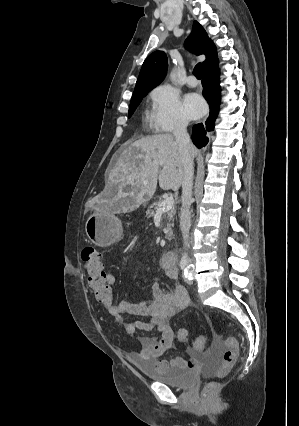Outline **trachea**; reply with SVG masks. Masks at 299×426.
I'll return each mask as SVG.
<instances>
[{
    "instance_id": "1",
    "label": "trachea",
    "mask_w": 299,
    "mask_h": 426,
    "mask_svg": "<svg viewBox=\"0 0 299 426\" xmlns=\"http://www.w3.org/2000/svg\"><path fill=\"white\" fill-rule=\"evenodd\" d=\"M193 73H194V75H195L198 79H201V78H202L203 70H202V65H201V63H198V64L194 67Z\"/></svg>"
}]
</instances>
